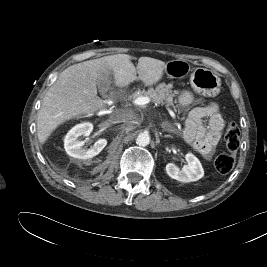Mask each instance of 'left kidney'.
I'll use <instances>...</instances> for the list:
<instances>
[{"mask_svg": "<svg viewBox=\"0 0 267 267\" xmlns=\"http://www.w3.org/2000/svg\"><path fill=\"white\" fill-rule=\"evenodd\" d=\"M185 159L188 165L184 166L182 169L173 163H168L165 168L166 173L171 178L184 183L201 179L204 176V170L199 159L192 153L186 154Z\"/></svg>", "mask_w": 267, "mask_h": 267, "instance_id": "5707ae66", "label": "left kidney"}]
</instances>
